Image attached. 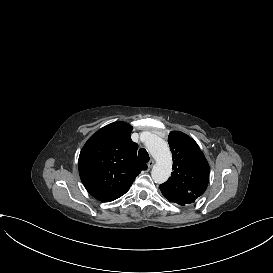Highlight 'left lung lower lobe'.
<instances>
[{"label": "left lung lower lobe", "instance_id": "1", "mask_svg": "<svg viewBox=\"0 0 273 273\" xmlns=\"http://www.w3.org/2000/svg\"><path fill=\"white\" fill-rule=\"evenodd\" d=\"M170 202H176L179 205L184 206L185 204H189L195 201L199 196L194 194L188 193L184 195H177V196H169L167 194L162 193Z\"/></svg>", "mask_w": 273, "mask_h": 273}]
</instances>
